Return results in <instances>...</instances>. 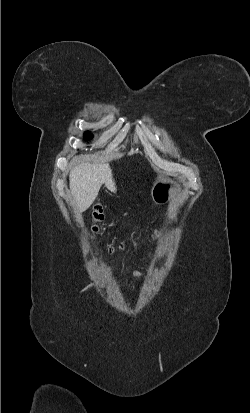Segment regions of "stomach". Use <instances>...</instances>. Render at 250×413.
<instances>
[{
  "label": "stomach",
  "instance_id": "stomach-1",
  "mask_svg": "<svg viewBox=\"0 0 250 413\" xmlns=\"http://www.w3.org/2000/svg\"><path fill=\"white\" fill-rule=\"evenodd\" d=\"M182 191V184L168 177H158L152 187V199L158 205H164Z\"/></svg>",
  "mask_w": 250,
  "mask_h": 413
}]
</instances>
